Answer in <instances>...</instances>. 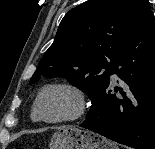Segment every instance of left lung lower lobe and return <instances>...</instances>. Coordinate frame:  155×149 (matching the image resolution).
Listing matches in <instances>:
<instances>
[{"label": "left lung lower lobe", "mask_w": 155, "mask_h": 149, "mask_svg": "<svg viewBox=\"0 0 155 149\" xmlns=\"http://www.w3.org/2000/svg\"><path fill=\"white\" fill-rule=\"evenodd\" d=\"M112 73L124 82L111 94L107 83L92 99L81 127L135 149H155V24L148 14L118 53ZM110 82V81H109Z\"/></svg>", "instance_id": "0a47b994"}]
</instances>
